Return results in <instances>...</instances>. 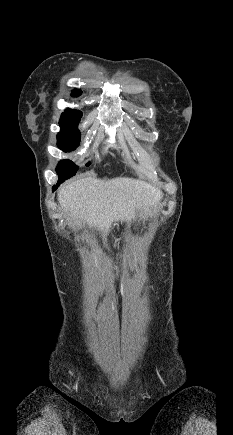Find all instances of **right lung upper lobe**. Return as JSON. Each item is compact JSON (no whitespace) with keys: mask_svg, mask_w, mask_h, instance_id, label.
Returning <instances> with one entry per match:
<instances>
[{"mask_svg":"<svg viewBox=\"0 0 233 435\" xmlns=\"http://www.w3.org/2000/svg\"><path fill=\"white\" fill-rule=\"evenodd\" d=\"M74 96L80 95V91H73ZM82 113L78 110L66 109L60 118V123L68 122L77 118H81Z\"/></svg>","mask_w":233,"mask_h":435,"instance_id":"1","label":"right lung upper lobe"}]
</instances>
